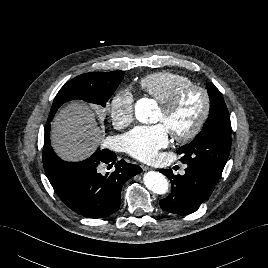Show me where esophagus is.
I'll use <instances>...</instances> for the list:
<instances>
[{
    "instance_id": "34e87169",
    "label": "esophagus",
    "mask_w": 268,
    "mask_h": 268,
    "mask_svg": "<svg viewBox=\"0 0 268 268\" xmlns=\"http://www.w3.org/2000/svg\"><path fill=\"white\" fill-rule=\"evenodd\" d=\"M141 168L143 169V171H148L152 169L151 167L144 165V164L141 165Z\"/></svg>"
}]
</instances>
